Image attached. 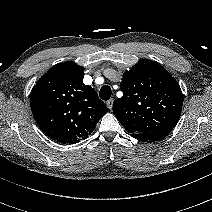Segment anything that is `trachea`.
<instances>
[{"instance_id":"3493384b","label":"trachea","mask_w":212,"mask_h":212,"mask_svg":"<svg viewBox=\"0 0 212 212\" xmlns=\"http://www.w3.org/2000/svg\"><path fill=\"white\" fill-rule=\"evenodd\" d=\"M111 88L108 85H103L100 89L99 96L102 100H109L111 97Z\"/></svg>"}]
</instances>
